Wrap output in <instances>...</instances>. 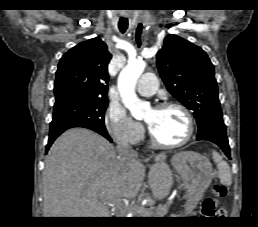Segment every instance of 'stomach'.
<instances>
[{
  "label": "stomach",
  "mask_w": 258,
  "mask_h": 227,
  "mask_svg": "<svg viewBox=\"0 0 258 227\" xmlns=\"http://www.w3.org/2000/svg\"><path fill=\"white\" fill-rule=\"evenodd\" d=\"M170 162L182 180L187 207L191 208L193 198L203 194L211 184L212 165L204 155L193 151L178 152Z\"/></svg>",
  "instance_id": "stomach-1"
}]
</instances>
